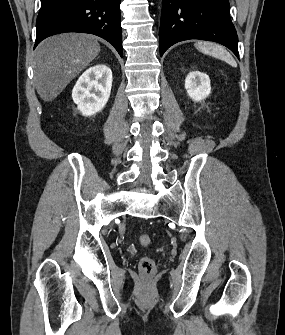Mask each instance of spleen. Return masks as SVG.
I'll return each mask as SVG.
<instances>
[{"label": "spleen", "mask_w": 285, "mask_h": 335, "mask_svg": "<svg viewBox=\"0 0 285 335\" xmlns=\"http://www.w3.org/2000/svg\"><path fill=\"white\" fill-rule=\"evenodd\" d=\"M196 48H198L200 52H203V54H207V56L219 58V60H224V62H227V64H230V66H233V68H237V64L234 58L230 56L229 52H227L225 48L218 46V44H210V42H199Z\"/></svg>", "instance_id": "obj_1"}]
</instances>
